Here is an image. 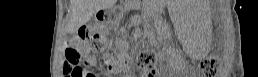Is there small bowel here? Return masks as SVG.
Here are the masks:
<instances>
[{
	"label": "small bowel",
	"mask_w": 258,
	"mask_h": 77,
	"mask_svg": "<svg viewBox=\"0 0 258 77\" xmlns=\"http://www.w3.org/2000/svg\"><path fill=\"white\" fill-rule=\"evenodd\" d=\"M81 51L83 53L84 61L87 64H89V65L97 64V62L99 60L97 56H95L94 54L90 53L88 51V49L85 48V47H82ZM101 60H102V63L105 65V67L110 72H115L116 71L115 60L111 56H109V55L103 56ZM90 77H93V76H90Z\"/></svg>",
	"instance_id": "obj_1"
}]
</instances>
